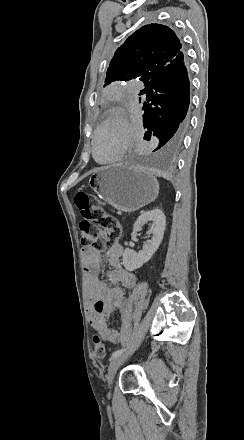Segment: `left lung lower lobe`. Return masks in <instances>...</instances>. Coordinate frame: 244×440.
I'll list each match as a JSON object with an SVG mask.
<instances>
[{"label":"left lung lower lobe","mask_w":244,"mask_h":440,"mask_svg":"<svg viewBox=\"0 0 244 440\" xmlns=\"http://www.w3.org/2000/svg\"><path fill=\"white\" fill-rule=\"evenodd\" d=\"M189 79L184 58L159 71L140 91L144 101V139L157 136L159 145L152 152L167 154L177 150L190 126Z\"/></svg>","instance_id":"1"}]
</instances>
